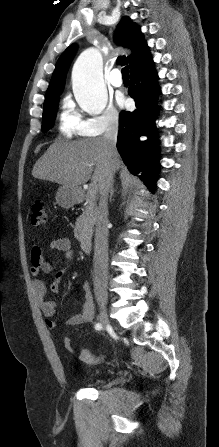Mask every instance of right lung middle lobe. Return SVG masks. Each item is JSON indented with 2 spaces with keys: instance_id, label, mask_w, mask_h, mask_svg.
Masks as SVG:
<instances>
[{
  "instance_id": "right-lung-middle-lobe-1",
  "label": "right lung middle lobe",
  "mask_w": 219,
  "mask_h": 447,
  "mask_svg": "<svg viewBox=\"0 0 219 447\" xmlns=\"http://www.w3.org/2000/svg\"><path fill=\"white\" fill-rule=\"evenodd\" d=\"M60 94L61 93L50 96L45 99L43 116H42L43 119L42 131L48 130L53 125Z\"/></svg>"
}]
</instances>
